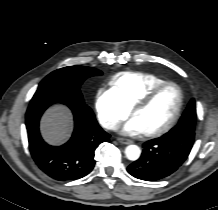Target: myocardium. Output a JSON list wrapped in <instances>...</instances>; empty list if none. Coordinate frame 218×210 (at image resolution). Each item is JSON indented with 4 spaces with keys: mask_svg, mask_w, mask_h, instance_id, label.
Returning <instances> with one entry per match:
<instances>
[{
    "mask_svg": "<svg viewBox=\"0 0 218 210\" xmlns=\"http://www.w3.org/2000/svg\"><path fill=\"white\" fill-rule=\"evenodd\" d=\"M167 86H174L176 87L177 91H178V95H179V101H178V105L176 108V111L174 113V115L172 116V118L170 119V121L164 125L163 127L154 130V131H150V132H144L143 135L145 137H159L167 132H169L174 126L175 124L178 122L180 115L182 113V109H183V105H184V94H183V90L181 88V86L173 81H165L162 82L158 85H156L155 87H153L151 90H149L140 100H138L134 106L131 109V114L134 115V113L137 110H140L142 108L147 107L154 99L155 97Z\"/></svg>",
    "mask_w": 218,
    "mask_h": 210,
    "instance_id": "myocardium-1",
    "label": "myocardium"
}]
</instances>
